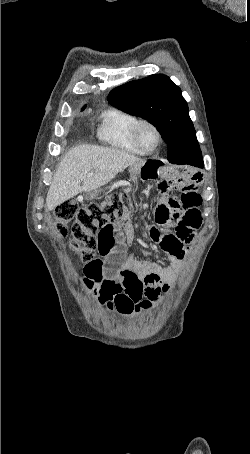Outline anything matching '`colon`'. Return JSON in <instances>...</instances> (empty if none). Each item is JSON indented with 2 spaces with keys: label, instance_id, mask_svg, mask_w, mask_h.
Masks as SVG:
<instances>
[{
  "label": "colon",
  "instance_id": "1",
  "mask_svg": "<svg viewBox=\"0 0 250 454\" xmlns=\"http://www.w3.org/2000/svg\"><path fill=\"white\" fill-rule=\"evenodd\" d=\"M132 212L128 193H115L109 200L79 207L75 201L66 200L55 209L57 229L66 235L67 225L74 219L71 228V245L81 262L93 259L98 248V233L106 226L129 216Z\"/></svg>",
  "mask_w": 250,
  "mask_h": 454
}]
</instances>
